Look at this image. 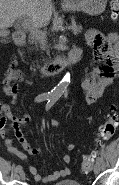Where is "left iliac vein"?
Wrapping results in <instances>:
<instances>
[{
	"instance_id": "4c4485c4",
	"label": "left iliac vein",
	"mask_w": 119,
	"mask_h": 185,
	"mask_svg": "<svg viewBox=\"0 0 119 185\" xmlns=\"http://www.w3.org/2000/svg\"><path fill=\"white\" fill-rule=\"evenodd\" d=\"M93 170H94L95 174H99L100 170H101V163L96 162L95 165H94V169Z\"/></svg>"
}]
</instances>
